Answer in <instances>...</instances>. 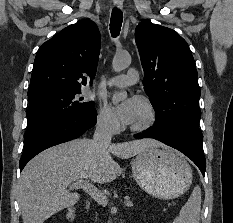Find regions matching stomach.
<instances>
[{"instance_id": "obj_1", "label": "stomach", "mask_w": 233, "mask_h": 223, "mask_svg": "<svg viewBox=\"0 0 233 223\" xmlns=\"http://www.w3.org/2000/svg\"><path fill=\"white\" fill-rule=\"evenodd\" d=\"M131 167L138 185L158 199L179 197L189 189L193 179L185 157L167 145H151L140 151Z\"/></svg>"}]
</instances>
